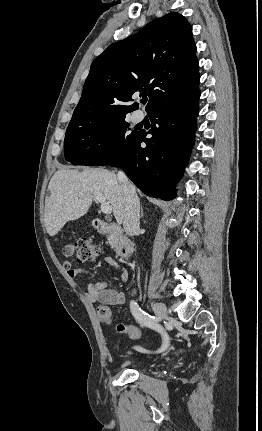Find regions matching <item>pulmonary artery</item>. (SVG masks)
I'll return each mask as SVG.
<instances>
[{
	"instance_id": "e3ab8cb5",
	"label": "pulmonary artery",
	"mask_w": 262,
	"mask_h": 431,
	"mask_svg": "<svg viewBox=\"0 0 262 431\" xmlns=\"http://www.w3.org/2000/svg\"><path fill=\"white\" fill-rule=\"evenodd\" d=\"M143 118H144V114L141 111H137L133 115V119L135 122H140L143 120Z\"/></svg>"
}]
</instances>
